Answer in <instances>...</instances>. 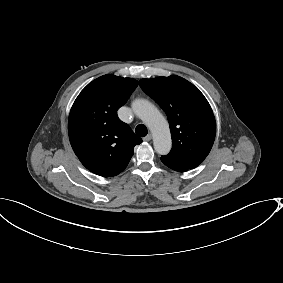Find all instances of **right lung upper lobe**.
Instances as JSON below:
<instances>
[{
  "mask_svg": "<svg viewBox=\"0 0 283 283\" xmlns=\"http://www.w3.org/2000/svg\"><path fill=\"white\" fill-rule=\"evenodd\" d=\"M137 86L135 79L107 74L89 83L76 98L68 134L76 156L89 171L107 177L121 173L134 146L142 142L117 116Z\"/></svg>",
  "mask_w": 283,
  "mask_h": 283,
  "instance_id": "right-lung-upper-lobe-1",
  "label": "right lung upper lobe"
}]
</instances>
